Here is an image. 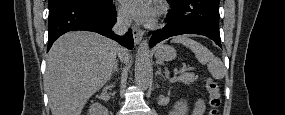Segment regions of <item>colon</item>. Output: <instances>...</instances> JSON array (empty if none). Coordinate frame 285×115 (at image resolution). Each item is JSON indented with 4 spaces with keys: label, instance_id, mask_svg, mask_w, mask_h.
<instances>
[{
    "label": "colon",
    "instance_id": "obj_1",
    "mask_svg": "<svg viewBox=\"0 0 285 115\" xmlns=\"http://www.w3.org/2000/svg\"><path fill=\"white\" fill-rule=\"evenodd\" d=\"M206 88L209 94V114L215 115L218 113V108L220 106V95L218 85L212 79L206 81Z\"/></svg>",
    "mask_w": 285,
    "mask_h": 115
}]
</instances>
